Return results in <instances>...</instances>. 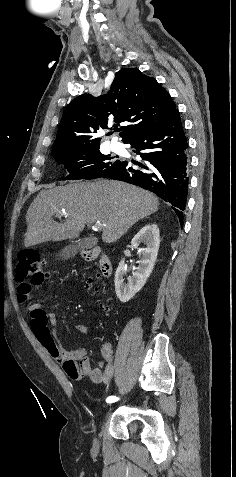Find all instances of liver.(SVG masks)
<instances>
[{"mask_svg":"<svg viewBox=\"0 0 236 477\" xmlns=\"http://www.w3.org/2000/svg\"><path fill=\"white\" fill-rule=\"evenodd\" d=\"M158 198L139 187L113 181L75 182L42 190L26 214L24 245L73 239L85 224H103L102 241L114 243L137 221L158 210ZM68 214L57 223L53 216Z\"/></svg>","mask_w":236,"mask_h":477,"instance_id":"obj_1","label":"liver"}]
</instances>
